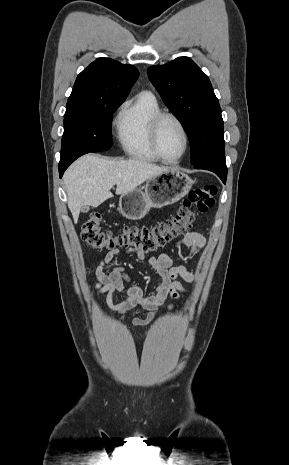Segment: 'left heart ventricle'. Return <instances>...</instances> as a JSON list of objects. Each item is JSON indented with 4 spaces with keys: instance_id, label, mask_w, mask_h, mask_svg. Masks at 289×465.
Masks as SVG:
<instances>
[{
    "instance_id": "b2bd125f",
    "label": "left heart ventricle",
    "mask_w": 289,
    "mask_h": 465,
    "mask_svg": "<svg viewBox=\"0 0 289 465\" xmlns=\"http://www.w3.org/2000/svg\"><path fill=\"white\" fill-rule=\"evenodd\" d=\"M160 149L167 159L177 158L184 149V136L175 121L164 120L160 131Z\"/></svg>"
}]
</instances>
